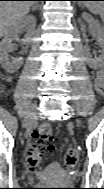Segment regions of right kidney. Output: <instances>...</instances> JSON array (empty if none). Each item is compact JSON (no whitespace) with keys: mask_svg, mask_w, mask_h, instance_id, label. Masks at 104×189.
Returning <instances> with one entry per match:
<instances>
[{"mask_svg":"<svg viewBox=\"0 0 104 189\" xmlns=\"http://www.w3.org/2000/svg\"><path fill=\"white\" fill-rule=\"evenodd\" d=\"M36 25V18L34 16H25L21 18L16 25L4 35L0 42V64L8 73L16 72L23 64V58L10 57V53L16 49L12 43L17 39L21 31H33ZM29 42V39L24 41Z\"/></svg>","mask_w":104,"mask_h":189,"instance_id":"right-kidney-1","label":"right kidney"}]
</instances>
